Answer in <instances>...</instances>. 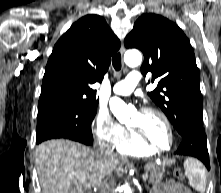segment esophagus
<instances>
[{
  "mask_svg": "<svg viewBox=\"0 0 221 193\" xmlns=\"http://www.w3.org/2000/svg\"><path fill=\"white\" fill-rule=\"evenodd\" d=\"M125 52V47L124 45L122 44L121 47H120V53L123 55Z\"/></svg>",
  "mask_w": 221,
  "mask_h": 193,
  "instance_id": "1",
  "label": "esophagus"
}]
</instances>
